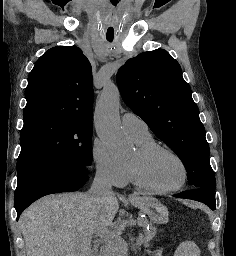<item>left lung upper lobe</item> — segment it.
I'll use <instances>...</instances> for the list:
<instances>
[{"label":"left lung upper lobe","mask_w":236,"mask_h":256,"mask_svg":"<svg viewBox=\"0 0 236 256\" xmlns=\"http://www.w3.org/2000/svg\"><path fill=\"white\" fill-rule=\"evenodd\" d=\"M124 102L181 159L188 183L215 190L209 145L179 63L163 49L129 59L117 73Z\"/></svg>","instance_id":"left-lung-upper-lobe-1"}]
</instances>
